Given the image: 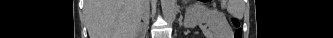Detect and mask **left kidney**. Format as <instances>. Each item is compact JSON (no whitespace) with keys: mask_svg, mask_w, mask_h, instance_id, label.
<instances>
[{"mask_svg":"<svg viewBox=\"0 0 333 38\" xmlns=\"http://www.w3.org/2000/svg\"><path fill=\"white\" fill-rule=\"evenodd\" d=\"M203 23L214 38H230L232 35V29L222 12L210 9L199 1L186 8L184 18L186 28H195Z\"/></svg>","mask_w":333,"mask_h":38,"instance_id":"obj_1","label":"left kidney"}]
</instances>
